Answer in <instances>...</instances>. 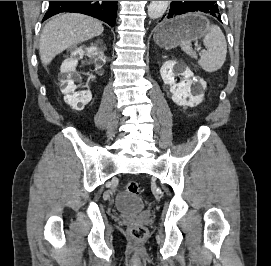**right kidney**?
<instances>
[{"instance_id":"1","label":"right kidney","mask_w":271,"mask_h":266,"mask_svg":"<svg viewBox=\"0 0 271 266\" xmlns=\"http://www.w3.org/2000/svg\"><path fill=\"white\" fill-rule=\"evenodd\" d=\"M84 55L92 57L96 64L97 69L101 68L105 63V57L100 51L98 44L90 47L75 48L71 53V57L64 60L61 65V92L65 95L64 101L70 105L73 109L83 110L91 99L92 94L90 90L75 92L77 86L75 81L78 79V73H76V65L78 60Z\"/></svg>"}]
</instances>
